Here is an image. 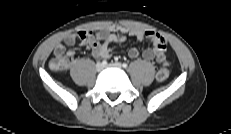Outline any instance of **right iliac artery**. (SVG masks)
<instances>
[{
	"label": "right iliac artery",
	"instance_id": "right-iliac-artery-1",
	"mask_svg": "<svg viewBox=\"0 0 231 134\" xmlns=\"http://www.w3.org/2000/svg\"><path fill=\"white\" fill-rule=\"evenodd\" d=\"M101 64H102L103 66H106V65H107V61H106V60H103Z\"/></svg>",
	"mask_w": 231,
	"mask_h": 134
}]
</instances>
